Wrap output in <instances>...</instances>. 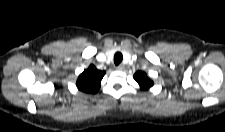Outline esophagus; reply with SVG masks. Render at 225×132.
<instances>
[{"label": "esophagus", "instance_id": "34e87169", "mask_svg": "<svg viewBox=\"0 0 225 132\" xmlns=\"http://www.w3.org/2000/svg\"><path fill=\"white\" fill-rule=\"evenodd\" d=\"M116 69H117L118 71H123V70H124V65L120 64V65H118V66L116 67Z\"/></svg>", "mask_w": 225, "mask_h": 132}]
</instances>
